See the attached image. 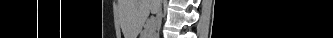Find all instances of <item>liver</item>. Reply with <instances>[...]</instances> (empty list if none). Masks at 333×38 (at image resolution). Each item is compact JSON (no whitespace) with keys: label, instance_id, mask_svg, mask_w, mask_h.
<instances>
[{"label":"liver","instance_id":"obj_1","mask_svg":"<svg viewBox=\"0 0 333 38\" xmlns=\"http://www.w3.org/2000/svg\"><path fill=\"white\" fill-rule=\"evenodd\" d=\"M120 8L122 12L133 10L135 27L138 31L142 28L150 12L158 13V0H121Z\"/></svg>","mask_w":333,"mask_h":38}]
</instances>
